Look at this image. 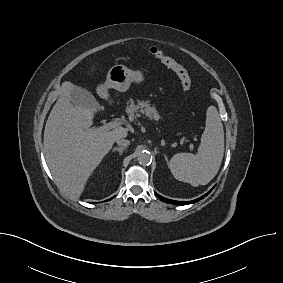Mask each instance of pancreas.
<instances>
[{
	"mask_svg": "<svg viewBox=\"0 0 283 283\" xmlns=\"http://www.w3.org/2000/svg\"><path fill=\"white\" fill-rule=\"evenodd\" d=\"M126 112L129 116V119L133 121L137 117H140L141 114L145 115L149 119H154L158 121L161 119L158 111L155 106H150L148 101H139L135 103L132 99L129 100Z\"/></svg>",
	"mask_w": 283,
	"mask_h": 283,
	"instance_id": "pancreas-1",
	"label": "pancreas"
}]
</instances>
